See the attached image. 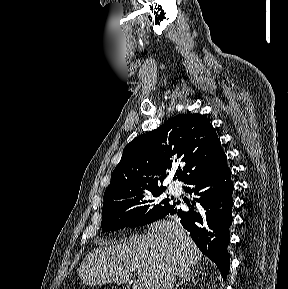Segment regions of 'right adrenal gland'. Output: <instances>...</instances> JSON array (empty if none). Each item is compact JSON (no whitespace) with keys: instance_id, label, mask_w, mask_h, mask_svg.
Segmentation results:
<instances>
[{"instance_id":"right-adrenal-gland-1","label":"right adrenal gland","mask_w":288,"mask_h":289,"mask_svg":"<svg viewBox=\"0 0 288 289\" xmlns=\"http://www.w3.org/2000/svg\"><path fill=\"white\" fill-rule=\"evenodd\" d=\"M190 280H194V273L193 272H187L186 274L182 275L179 282L176 285L175 289H178L180 286H182L183 284L190 282Z\"/></svg>"}]
</instances>
